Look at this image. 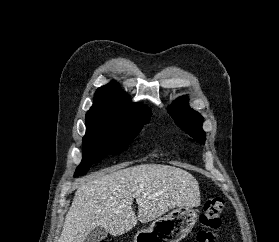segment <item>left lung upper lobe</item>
Instances as JSON below:
<instances>
[{
	"label": "left lung upper lobe",
	"mask_w": 279,
	"mask_h": 242,
	"mask_svg": "<svg viewBox=\"0 0 279 242\" xmlns=\"http://www.w3.org/2000/svg\"><path fill=\"white\" fill-rule=\"evenodd\" d=\"M168 113L176 124L194 139L204 143L205 133L202 130L203 117L188 106V99L181 97L168 108Z\"/></svg>",
	"instance_id": "left-lung-upper-lobe-1"
}]
</instances>
